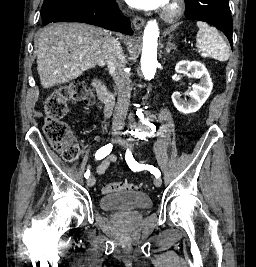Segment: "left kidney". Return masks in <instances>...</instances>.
Returning a JSON list of instances; mask_svg holds the SVG:
<instances>
[{
  "instance_id": "1",
  "label": "left kidney",
  "mask_w": 256,
  "mask_h": 267,
  "mask_svg": "<svg viewBox=\"0 0 256 267\" xmlns=\"http://www.w3.org/2000/svg\"><path fill=\"white\" fill-rule=\"evenodd\" d=\"M175 72L177 74H189L190 78H197L200 80V84H194L192 86V92H186L190 100L184 102L182 100L180 92H173L172 102L182 114H192V112H197L207 98L211 94L213 88L212 80L209 76L207 68L201 62H189V60H181L175 66Z\"/></svg>"
}]
</instances>
